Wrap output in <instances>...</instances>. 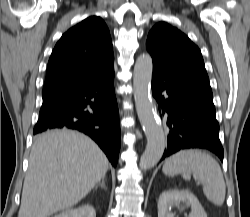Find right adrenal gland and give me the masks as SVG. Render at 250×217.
I'll return each mask as SVG.
<instances>
[{"label": "right adrenal gland", "mask_w": 250, "mask_h": 217, "mask_svg": "<svg viewBox=\"0 0 250 217\" xmlns=\"http://www.w3.org/2000/svg\"><path fill=\"white\" fill-rule=\"evenodd\" d=\"M98 186H101L102 188H104L105 190H107V186L105 185V178H102L101 182H99L97 185H96V188Z\"/></svg>", "instance_id": "2a0ac1e0"}]
</instances>
